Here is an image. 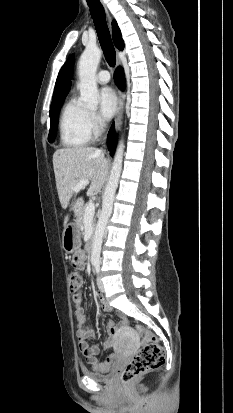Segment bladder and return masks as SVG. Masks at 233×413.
Wrapping results in <instances>:
<instances>
[{
	"mask_svg": "<svg viewBox=\"0 0 233 413\" xmlns=\"http://www.w3.org/2000/svg\"><path fill=\"white\" fill-rule=\"evenodd\" d=\"M82 375L97 382H109L112 380L113 377V373L110 371L100 372L82 370Z\"/></svg>",
	"mask_w": 233,
	"mask_h": 413,
	"instance_id": "bladder-1",
	"label": "bladder"
}]
</instances>
